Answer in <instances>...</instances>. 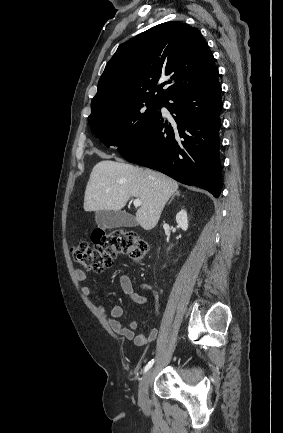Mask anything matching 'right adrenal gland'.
<instances>
[{
    "mask_svg": "<svg viewBox=\"0 0 283 433\" xmlns=\"http://www.w3.org/2000/svg\"><path fill=\"white\" fill-rule=\"evenodd\" d=\"M175 194H177V196H180V190H176V192H174V194H172V196H171V198H170L168 204H170L171 200H173Z\"/></svg>",
    "mask_w": 283,
    "mask_h": 433,
    "instance_id": "right-adrenal-gland-1",
    "label": "right adrenal gland"
}]
</instances>
